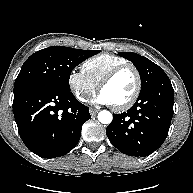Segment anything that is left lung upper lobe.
Listing matches in <instances>:
<instances>
[{"label":"left lung upper lobe","instance_id":"5c2ea615","mask_svg":"<svg viewBox=\"0 0 193 193\" xmlns=\"http://www.w3.org/2000/svg\"><path fill=\"white\" fill-rule=\"evenodd\" d=\"M118 54L131 61L139 71L141 78V92L145 91L159 78L166 76L161 67L146 57L133 52H119Z\"/></svg>","mask_w":193,"mask_h":193}]
</instances>
